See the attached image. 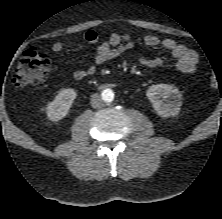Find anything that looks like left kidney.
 Returning a JSON list of instances; mask_svg holds the SVG:
<instances>
[{
    "instance_id": "left-kidney-1",
    "label": "left kidney",
    "mask_w": 222,
    "mask_h": 219,
    "mask_svg": "<svg viewBox=\"0 0 222 219\" xmlns=\"http://www.w3.org/2000/svg\"><path fill=\"white\" fill-rule=\"evenodd\" d=\"M146 95L159 116L174 117L180 112V94L173 86L169 84L152 85L148 88Z\"/></svg>"
}]
</instances>
